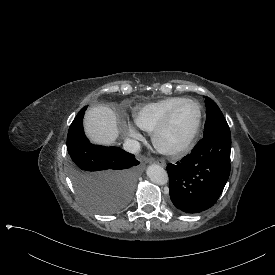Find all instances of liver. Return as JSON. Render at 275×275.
<instances>
[{
	"mask_svg": "<svg viewBox=\"0 0 275 275\" xmlns=\"http://www.w3.org/2000/svg\"><path fill=\"white\" fill-rule=\"evenodd\" d=\"M84 128L90 140L97 144L112 145L119 136L116 115L105 106L93 107L86 112Z\"/></svg>",
	"mask_w": 275,
	"mask_h": 275,
	"instance_id": "liver-1",
	"label": "liver"
}]
</instances>
